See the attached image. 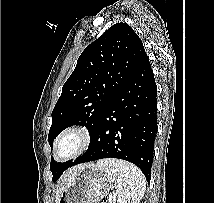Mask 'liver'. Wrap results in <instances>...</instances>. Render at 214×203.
Here are the masks:
<instances>
[{
    "label": "liver",
    "mask_w": 214,
    "mask_h": 203,
    "mask_svg": "<svg viewBox=\"0 0 214 203\" xmlns=\"http://www.w3.org/2000/svg\"><path fill=\"white\" fill-rule=\"evenodd\" d=\"M82 165L76 166L74 168L69 169L59 180L58 185H57V189L55 191L56 195H55V201L58 200V197L60 195V193L62 192V190L64 188H66L68 185L71 184V182L74 180L76 173L78 172L79 168Z\"/></svg>",
    "instance_id": "1"
}]
</instances>
